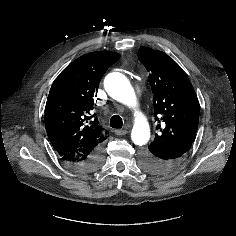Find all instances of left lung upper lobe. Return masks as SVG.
Listing matches in <instances>:
<instances>
[{"label":"left lung upper lobe","instance_id":"5c2ea615","mask_svg":"<svg viewBox=\"0 0 236 236\" xmlns=\"http://www.w3.org/2000/svg\"><path fill=\"white\" fill-rule=\"evenodd\" d=\"M138 58L150 72L148 80L159 130L146 154L155 156L154 150L187 152L199 121V104L192 84L182 68L164 52L141 47ZM145 167L151 169L148 165Z\"/></svg>","mask_w":236,"mask_h":236}]
</instances>
